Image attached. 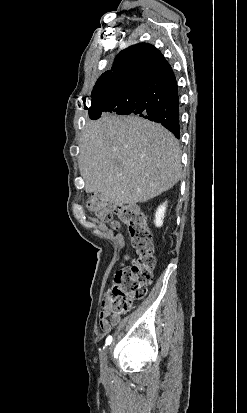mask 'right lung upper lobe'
Listing matches in <instances>:
<instances>
[{
  "mask_svg": "<svg viewBox=\"0 0 247 413\" xmlns=\"http://www.w3.org/2000/svg\"><path fill=\"white\" fill-rule=\"evenodd\" d=\"M168 65L164 56L153 45L139 43L122 50L115 58L112 70L103 73L97 81L126 82L135 72H155Z\"/></svg>",
  "mask_w": 247,
  "mask_h": 413,
  "instance_id": "obj_1",
  "label": "right lung upper lobe"
}]
</instances>
